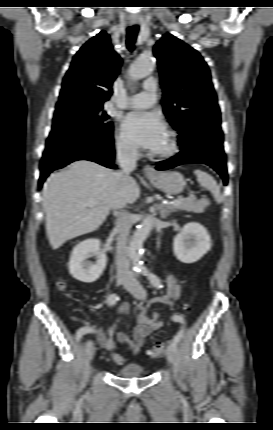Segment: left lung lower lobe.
<instances>
[{"mask_svg": "<svg viewBox=\"0 0 273 430\" xmlns=\"http://www.w3.org/2000/svg\"><path fill=\"white\" fill-rule=\"evenodd\" d=\"M179 145L182 146L178 155L165 160L158 165L157 170H167L187 163L207 164L216 170L226 185L228 176L225 153L223 151V132L218 121L209 119L202 121L192 129H185L178 136Z\"/></svg>", "mask_w": 273, "mask_h": 430, "instance_id": "1", "label": "left lung lower lobe"}]
</instances>
